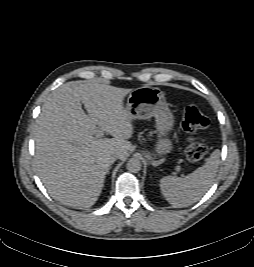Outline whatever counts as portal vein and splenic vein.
Here are the masks:
<instances>
[{
  "instance_id": "1",
  "label": "portal vein and splenic vein",
  "mask_w": 254,
  "mask_h": 267,
  "mask_svg": "<svg viewBox=\"0 0 254 267\" xmlns=\"http://www.w3.org/2000/svg\"><path fill=\"white\" fill-rule=\"evenodd\" d=\"M103 135H104L103 131L99 129V130L96 131L95 137L97 139H100V138L103 137ZM175 169H176V171H180L181 170L180 166H176Z\"/></svg>"
}]
</instances>
